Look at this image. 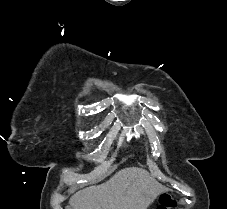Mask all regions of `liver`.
Here are the masks:
<instances>
[{
	"instance_id": "1",
	"label": "liver",
	"mask_w": 227,
	"mask_h": 209,
	"mask_svg": "<svg viewBox=\"0 0 227 209\" xmlns=\"http://www.w3.org/2000/svg\"><path fill=\"white\" fill-rule=\"evenodd\" d=\"M157 185L144 169H122L103 185L87 187L69 199L72 209H147L158 193L149 189Z\"/></svg>"
}]
</instances>
